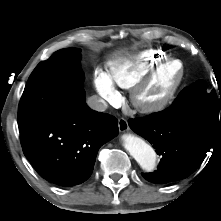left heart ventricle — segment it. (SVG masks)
Listing matches in <instances>:
<instances>
[{
	"instance_id": "obj_1",
	"label": "left heart ventricle",
	"mask_w": 221,
	"mask_h": 221,
	"mask_svg": "<svg viewBox=\"0 0 221 221\" xmlns=\"http://www.w3.org/2000/svg\"><path fill=\"white\" fill-rule=\"evenodd\" d=\"M181 73V65L172 62L163 67L155 76L153 81L143 92L147 100H157L165 96L178 80Z\"/></svg>"
}]
</instances>
